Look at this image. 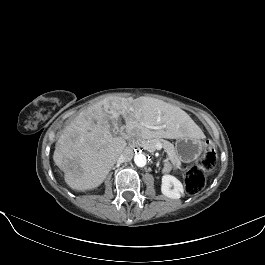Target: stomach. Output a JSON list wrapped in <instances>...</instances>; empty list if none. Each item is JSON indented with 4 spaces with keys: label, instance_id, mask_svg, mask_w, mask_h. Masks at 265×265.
<instances>
[{
    "label": "stomach",
    "instance_id": "stomach-1",
    "mask_svg": "<svg viewBox=\"0 0 265 265\" xmlns=\"http://www.w3.org/2000/svg\"><path fill=\"white\" fill-rule=\"evenodd\" d=\"M203 151V144L199 138L183 136L176 138L175 152L179 160L185 163L196 160Z\"/></svg>",
    "mask_w": 265,
    "mask_h": 265
}]
</instances>
